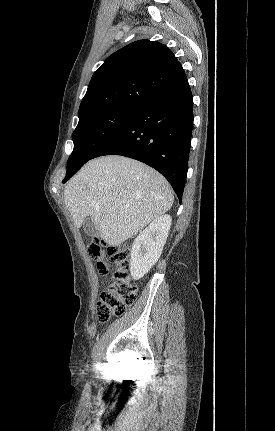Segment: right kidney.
I'll use <instances>...</instances> for the list:
<instances>
[{"label":"right kidney","mask_w":275,"mask_h":431,"mask_svg":"<svg viewBox=\"0 0 275 431\" xmlns=\"http://www.w3.org/2000/svg\"><path fill=\"white\" fill-rule=\"evenodd\" d=\"M171 221L168 214L155 218L134 240L130 260V273L133 279L142 278L160 258Z\"/></svg>","instance_id":"ca27d5eb"}]
</instances>
